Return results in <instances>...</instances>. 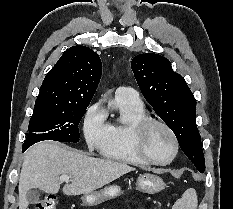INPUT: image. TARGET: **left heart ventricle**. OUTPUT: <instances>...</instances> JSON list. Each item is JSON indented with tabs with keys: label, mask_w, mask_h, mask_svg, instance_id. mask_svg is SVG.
Listing matches in <instances>:
<instances>
[{
	"label": "left heart ventricle",
	"mask_w": 233,
	"mask_h": 209,
	"mask_svg": "<svg viewBox=\"0 0 233 209\" xmlns=\"http://www.w3.org/2000/svg\"><path fill=\"white\" fill-rule=\"evenodd\" d=\"M145 148L151 158L161 162L168 160L174 150L170 135L158 125H153L148 130Z\"/></svg>",
	"instance_id": "1"
}]
</instances>
